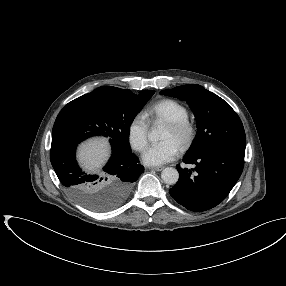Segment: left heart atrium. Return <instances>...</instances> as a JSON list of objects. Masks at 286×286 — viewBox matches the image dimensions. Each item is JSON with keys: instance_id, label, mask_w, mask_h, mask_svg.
<instances>
[{"instance_id": "1", "label": "left heart atrium", "mask_w": 286, "mask_h": 286, "mask_svg": "<svg viewBox=\"0 0 286 286\" xmlns=\"http://www.w3.org/2000/svg\"><path fill=\"white\" fill-rule=\"evenodd\" d=\"M179 152V145L167 139L149 146L143 153V161L148 165H161L175 159Z\"/></svg>"}]
</instances>
